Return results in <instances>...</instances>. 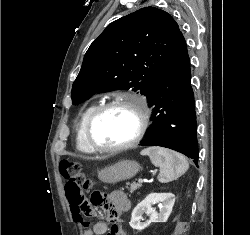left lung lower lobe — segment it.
Returning a JSON list of instances; mask_svg holds the SVG:
<instances>
[{"label":"left lung lower lobe","instance_id":"1","mask_svg":"<svg viewBox=\"0 0 250 235\" xmlns=\"http://www.w3.org/2000/svg\"><path fill=\"white\" fill-rule=\"evenodd\" d=\"M153 107L152 125L143 146L178 151L198 164L196 115L191 86L190 59L180 33L147 93Z\"/></svg>","mask_w":250,"mask_h":235}]
</instances>
